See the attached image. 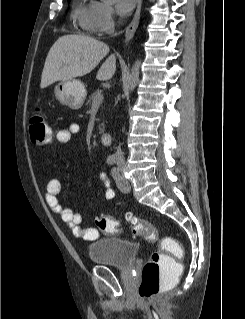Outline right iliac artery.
I'll return each mask as SVG.
<instances>
[{"label":"right iliac artery","mask_w":245,"mask_h":319,"mask_svg":"<svg viewBox=\"0 0 245 319\" xmlns=\"http://www.w3.org/2000/svg\"><path fill=\"white\" fill-rule=\"evenodd\" d=\"M115 162H116V158H115L114 156H109V157L107 158V163H108L109 165H113Z\"/></svg>","instance_id":"right-iliac-artery-1"}]
</instances>
